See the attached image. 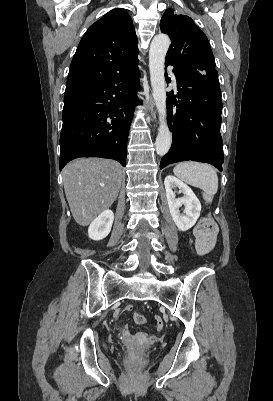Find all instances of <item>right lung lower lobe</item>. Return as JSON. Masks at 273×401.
I'll return each mask as SVG.
<instances>
[{"instance_id":"right-lung-lower-lobe-1","label":"right lung lower lobe","mask_w":273,"mask_h":401,"mask_svg":"<svg viewBox=\"0 0 273 401\" xmlns=\"http://www.w3.org/2000/svg\"><path fill=\"white\" fill-rule=\"evenodd\" d=\"M138 60L103 82L64 97L60 170L78 157L126 164L127 138L138 100Z\"/></svg>"}]
</instances>
